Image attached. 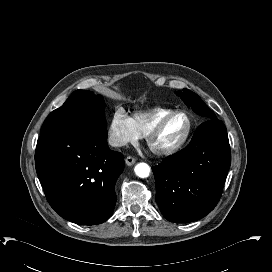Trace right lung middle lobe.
I'll use <instances>...</instances> for the list:
<instances>
[{
    "label": "right lung middle lobe",
    "instance_id": "obj_1",
    "mask_svg": "<svg viewBox=\"0 0 272 272\" xmlns=\"http://www.w3.org/2000/svg\"><path fill=\"white\" fill-rule=\"evenodd\" d=\"M104 106V100L100 95H95L92 91L76 90L61 107L48 115L40 133L82 121H98L106 126Z\"/></svg>",
    "mask_w": 272,
    "mask_h": 272
}]
</instances>
